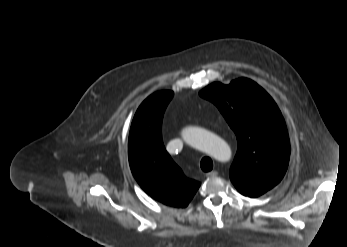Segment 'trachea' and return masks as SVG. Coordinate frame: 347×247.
Wrapping results in <instances>:
<instances>
[{
	"mask_svg": "<svg viewBox=\"0 0 347 247\" xmlns=\"http://www.w3.org/2000/svg\"><path fill=\"white\" fill-rule=\"evenodd\" d=\"M200 166L204 172H209L213 169V162H212L211 158L204 157V158H202V160L200 162Z\"/></svg>",
	"mask_w": 347,
	"mask_h": 247,
	"instance_id": "1",
	"label": "trachea"
}]
</instances>
